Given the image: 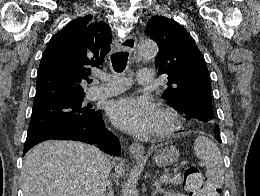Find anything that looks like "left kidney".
<instances>
[{
  "label": "left kidney",
  "instance_id": "1",
  "mask_svg": "<svg viewBox=\"0 0 260 196\" xmlns=\"http://www.w3.org/2000/svg\"><path fill=\"white\" fill-rule=\"evenodd\" d=\"M164 196H184V194H176V192H165Z\"/></svg>",
  "mask_w": 260,
  "mask_h": 196
}]
</instances>
